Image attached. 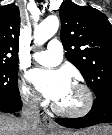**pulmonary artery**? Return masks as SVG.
Here are the masks:
<instances>
[{
    "instance_id": "1",
    "label": "pulmonary artery",
    "mask_w": 112,
    "mask_h": 135,
    "mask_svg": "<svg viewBox=\"0 0 112 135\" xmlns=\"http://www.w3.org/2000/svg\"><path fill=\"white\" fill-rule=\"evenodd\" d=\"M36 62L44 66H57L63 59V46L57 39L48 42L45 50L36 52L33 55Z\"/></svg>"
}]
</instances>
